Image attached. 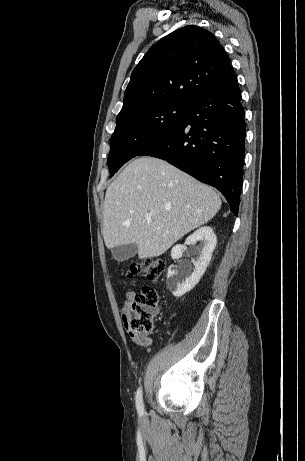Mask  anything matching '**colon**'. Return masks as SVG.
Returning a JSON list of instances; mask_svg holds the SVG:
<instances>
[{"label":"colon","mask_w":305,"mask_h":461,"mask_svg":"<svg viewBox=\"0 0 305 461\" xmlns=\"http://www.w3.org/2000/svg\"><path fill=\"white\" fill-rule=\"evenodd\" d=\"M164 266L165 264L160 258L148 257L132 262L127 270V276L131 278L141 275L151 282H159ZM157 304L158 294L156 290L150 286L142 288L131 302L128 310L131 332L142 335L152 333Z\"/></svg>","instance_id":"5ec220e1"}]
</instances>
